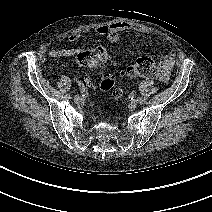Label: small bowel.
<instances>
[{
    "mask_svg": "<svg viewBox=\"0 0 212 212\" xmlns=\"http://www.w3.org/2000/svg\"><path fill=\"white\" fill-rule=\"evenodd\" d=\"M136 31L142 34L155 36V34L147 29L136 27L133 24L127 22H114L110 24H103L96 27L95 31L99 35H104L110 42H116L119 39V35L123 31ZM81 39V35L74 33L69 36L70 42H77ZM81 52L80 48H63L53 49L49 51V56L53 58L72 57ZM175 57L172 53L167 54L161 63V75L159 80L166 82L169 78L170 71L174 65ZM76 81L82 91H86L88 88H92L94 83L88 75H80L76 78Z\"/></svg>",
    "mask_w": 212,
    "mask_h": 212,
    "instance_id": "small-bowel-1",
    "label": "small bowel"
}]
</instances>
